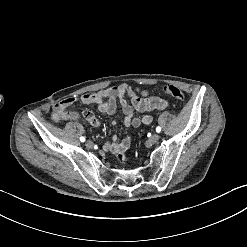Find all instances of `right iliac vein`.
<instances>
[{"label":"right iliac vein","mask_w":247,"mask_h":247,"mask_svg":"<svg viewBox=\"0 0 247 247\" xmlns=\"http://www.w3.org/2000/svg\"><path fill=\"white\" fill-rule=\"evenodd\" d=\"M94 146V143L90 140L86 141V147L89 148V149H92Z\"/></svg>","instance_id":"right-iliac-vein-1"}]
</instances>
